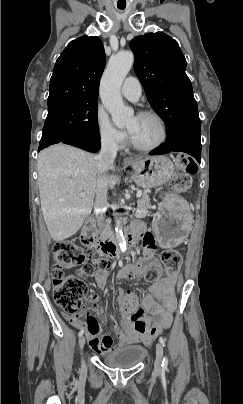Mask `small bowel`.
<instances>
[{
    "label": "small bowel",
    "mask_w": 243,
    "mask_h": 404,
    "mask_svg": "<svg viewBox=\"0 0 243 404\" xmlns=\"http://www.w3.org/2000/svg\"><path fill=\"white\" fill-rule=\"evenodd\" d=\"M143 238L142 251V267L149 268L157 266L158 261L154 256L155 238L149 231H144L142 225L135 227ZM108 272L99 269L95 273V282L99 288H105L108 279ZM118 277H125V272L120 271ZM175 277H166L151 287V293L147 295L143 301V308H138L132 314L124 317V329L117 324L113 326V331L118 338V343L114 348L135 344L138 342L149 344L157 335L169 327L171 323L172 313L176 307L175 299ZM158 299L161 303L158 302ZM98 296L93 295L85 307L86 311L97 308ZM147 311L152 316L146 314ZM83 313L77 316L66 315V319L76 328L86 332L90 347L97 353L104 354L113 348V340L109 335L100 336V325L97 319L87 314V319H82Z\"/></svg>",
    "instance_id": "small-bowel-1"
}]
</instances>
